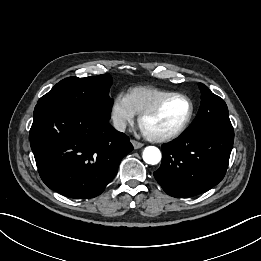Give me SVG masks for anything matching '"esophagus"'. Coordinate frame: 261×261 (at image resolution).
I'll list each match as a JSON object with an SVG mask.
<instances>
[{"label": "esophagus", "instance_id": "34e87169", "mask_svg": "<svg viewBox=\"0 0 261 261\" xmlns=\"http://www.w3.org/2000/svg\"><path fill=\"white\" fill-rule=\"evenodd\" d=\"M131 143H132L134 149H139L143 146V144L141 142L133 140V139L131 140Z\"/></svg>", "mask_w": 261, "mask_h": 261}]
</instances>
